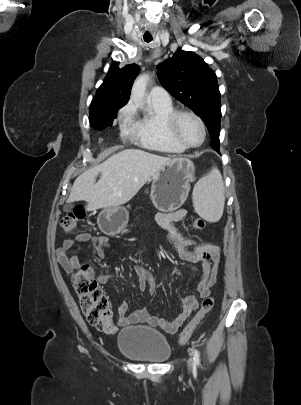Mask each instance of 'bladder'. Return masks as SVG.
Instances as JSON below:
<instances>
[{
	"instance_id": "bladder-1",
	"label": "bladder",
	"mask_w": 301,
	"mask_h": 405,
	"mask_svg": "<svg viewBox=\"0 0 301 405\" xmlns=\"http://www.w3.org/2000/svg\"><path fill=\"white\" fill-rule=\"evenodd\" d=\"M117 345L124 356L141 362L162 363L171 355L166 337L159 331L144 326L122 329Z\"/></svg>"
}]
</instances>
